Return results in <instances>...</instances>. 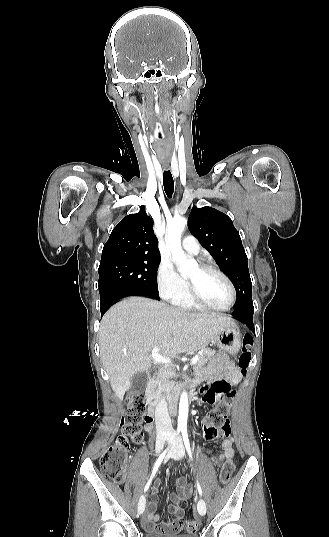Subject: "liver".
<instances>
[{"label":"liver","instance_id":"liver-1","mask_svg":"<svg viewBox=\"0 0 329 537\" xmlns=\"http://www.w3.org/2000/svg\"><path fill=\"white\" fill-rule=\"evenodd\" d=\"M232 325L227 316L188 314L143 297L113 305L101 320L99 346L115 395L123 400L134 374L151 368L154 347L166 358L192 353Z\"/></svg>","mask_w":329,"mask_h":537}]
</instances>
